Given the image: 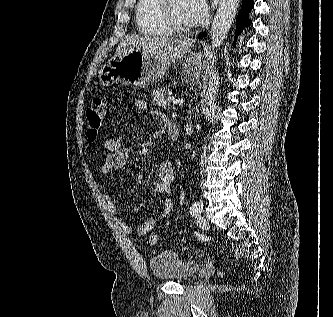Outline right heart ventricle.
Segmentation results:
<instances>
[{"label":"right heart ventricle","instance_id":"obj_1","mask_svg":"<svg viewBox=\"0 0 333 317\" xmlns=\"http://www.w3.org/2000/svg\"><path fill=\"white\" fill-rule=\"evenodd\" d=\"M135 21L140 33L152 37H169L172 33L161 23L157 13V0H138Z\"/></svg>","mask_w":333,"mask_h":317}]
</instances>
